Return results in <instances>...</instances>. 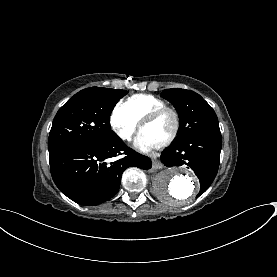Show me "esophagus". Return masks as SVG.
<instances>
[{
    "label": "esophagus",
    "instance_id": "34e87169",
    "mask_svg": "<svg viewBox=\"0 0 277 277\" xmlns=\"http://www.w3.org/2000/svg\"><path fill=\"white\" fill-rule=\"evenodd\" d=\"M164 165L160 162L158 159H153L152 160V168L153 169H162Z\"/></svg>",
    "mask_w": 277,
    "mask_h": 277
}]
</instances>
